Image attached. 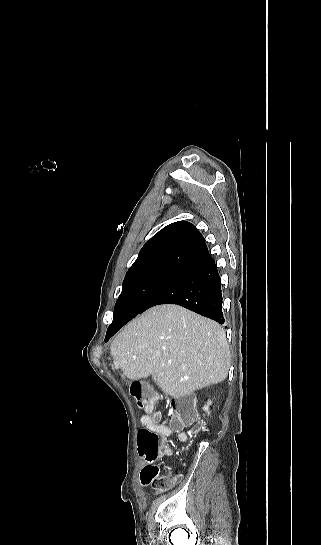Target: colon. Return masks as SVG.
Segmentation results:
<instances>
[{"instance_id":"5ec220e1","label":"colon","mask_w":321,"mask_h":545,"mask_svg":"<svg viewBox=\"0 0 321 545\" xmlns=\"http://www.w3.org/2000/svg\"><path fill=\"white\" fill-rule=\"evenodd\" d=\"M130 394L148 415H156L157 394L149 385L135 381L130 385ZM173 409L176 412L174 427L194 425L195 429L201 427L197 420L194 404L189 399H179L174 402ZM138 444L141 454L147 460H155L159 453L160 437L157 433L148 428H141L138 432ZM179 480L178 474H153L149 481L157 492H164L176 484Z\"/></svg>"}]
</instances>
